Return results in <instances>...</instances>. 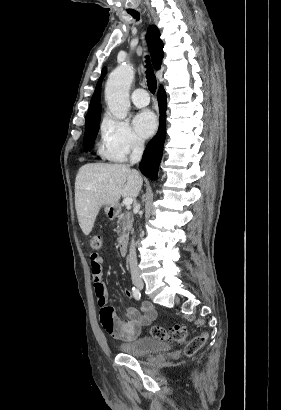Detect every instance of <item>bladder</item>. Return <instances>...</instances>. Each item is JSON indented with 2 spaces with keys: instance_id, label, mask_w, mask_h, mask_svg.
I'll use <instances>...</instances> for the list:
<instances>
[{
  "instance_id": "obj_1",
  "label": "bladder",
  "mask_w": 281,
  "mask_h": 410,
  "mask_svg": "<svg viewBox=\"0 0 281 410\" xmlns=\"http://www.w3.org/2000/svg\"><path fill=\"white\" fill-rule=\"evenodd\" d=\"M118 349L126 355L143 357L155 353L168 352L170 345L165 341L143 336L132 342L120 344Z\"/></svg>"
}]
</instances>
